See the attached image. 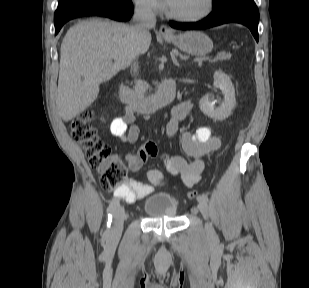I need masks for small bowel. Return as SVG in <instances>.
<instances>
[{
    "mask_svg": "<svg viewBox=\"0 0 309 288\" xmlns=\"http://www.w3.org/2000/svg\"><path fill=\"white\" fill-rule=\"evenodd\" d=\"M191 109L192 105L187 101L173 109L166 129L169 137L177 132L179 123ZM110 132L125 142L134 143L138 138L139 129L134 124L133 113L127 110L122 116L113 119L110 123ZM180 144L184 155L193 158V161H187L182 155L162 152L154 142L145 143L136 154H126L124 161L131 171H136L145 164L149 157H158L170 174L178 176L187 187H192L200 180L204 169L203 158L208 153L219 149L221 141L219 137L212 134L209 127L201 126L194 133L183 131ZM148 179V183L128 181L123 188L115 191V196L128 203L145 198L158 186L161 174L157 170H151Z\"/></svg>",
    "mask_w": 309,
    "mask_h": 288,
    "instance_id": "small-bowel-1",
    "label": "small bowel"
}]
</instances>
